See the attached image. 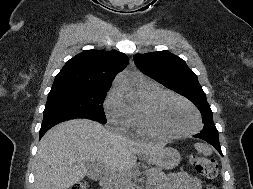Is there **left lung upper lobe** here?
<instances>
[{
    "instance_id": "1",
    "label": "left lung upper lobe",
    "mask_w": 253,
    "mask_h": 189,
    "mask_svg": "<svg viewBox=\"0 0 253 189\" xmlns=\"http://www.w3.org/2000/svg\"><path fill=\"white\" fill-rule=\"evenodd\" d=\"M133 59L140 71L165 87L185 96L200 110L204 120L201 132L218 134L206 94L203 92L196 74L186 65L184 60L167 50L136 54Z\"/></svg>"
}]
</instances>
